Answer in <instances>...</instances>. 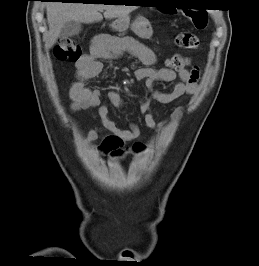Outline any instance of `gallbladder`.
Segmentation results:
<instances>
[{"instance_id": "obj_1", "label": "gallbladder", "mask_w": 259, "mask_h": 266, "mask_svg": "<svg viewBox=\"0 0 259 266\" xmlns=\"http://www.w3.org/2000/svg\"><path fill=\"white\" fill-rule=\"evenodd\" d=\"M82 30V25L76 21L67 22L61 30L60 37H72L78 35Z\"/></svg>"}]
</instances>
